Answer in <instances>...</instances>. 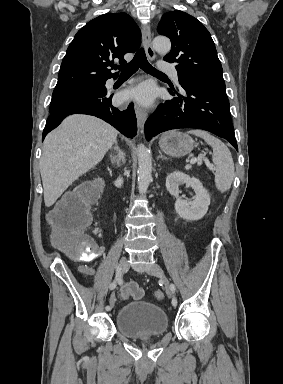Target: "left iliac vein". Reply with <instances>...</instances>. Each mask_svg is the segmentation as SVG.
<instances>
[{"mask_svg": "<svg viewBox=\"0 0 283 384\" xmlns=\"http://www.w3.org/2000/svg\"><path fill=\"white\" fill-rule=\"evenodd\" d=\"M147 273L160 278L164 284V289H165L168 297H171V293H172L171 287H170L171 284H170L168 278L166 277L163 269L159 265L155 264V265H153L147 269Z\"/></svg>", "mask_w": 283, "mask_h": 384, "instance_id": "obj_1", "label": "left iliac vein"}]
</instances>
